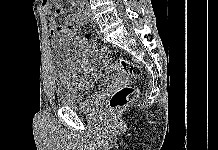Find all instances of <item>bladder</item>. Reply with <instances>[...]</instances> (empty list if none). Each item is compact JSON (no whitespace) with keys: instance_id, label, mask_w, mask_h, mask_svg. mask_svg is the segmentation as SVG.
Returning <instances> with one entry per match:
<instances>
[{"instance_id":"obj_1","label":"bladder","mask_w":218,"mask_h":150,"mask_svg":"<svg viewBox=\"0 0 218 150\" xmlns=\"http://www.w3.org/2000/svg\"><path fill=\"white\" fill-rule=\"evenodd\" d=\"M52 53L57 67V103L75 109L86 107L98 80L113 67L78 39H54Z\"/></svg>"}]
</instances>
